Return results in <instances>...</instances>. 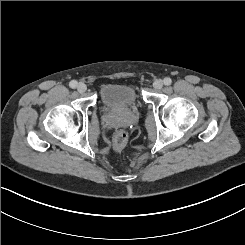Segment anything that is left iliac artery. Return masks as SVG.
Wrapping results in <instances>:
<instances>
[{"mask_svg":"<svg viewBox=\"0 0 245 245\" xmlns=\"http://www.w3.org/2000/svg\"><path fill=\"white\" fill-rule=\"evenodd\" d=\"M171 83H172L171 78L166 77V78L164 79V84H165V85H170Z\"/></svg>","mask_w":245,"mask_h":245,"instance_id":"44dca946","label":"left iliac artery"}]
</instances>
